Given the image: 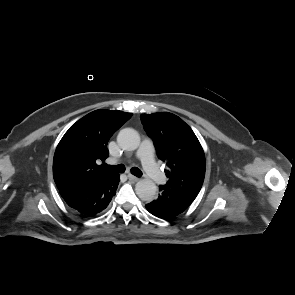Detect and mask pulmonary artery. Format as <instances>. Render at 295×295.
<instances>
[{
	"instance_id": "pulmonary-artery-1",
	"label": "pulmonary artery",
	"mask_w": 295,
	"mask_h": 295,
	"mask_svg": "<svg viewBox=\"0 0 295 295\" xmlns=\"http://www.w3.org/2000/svg\"><path fill=\"white\" fill-rule=\"evenodd\" d=\"M153 144L150 139L146 138L141 143L140 148L137 151V157L141 160L142 165L148 174V176L157 184L165 182V175L159 170L154 161L153 156Z\"/></svg>"
}]
</instances>
